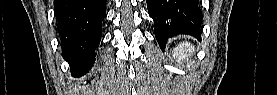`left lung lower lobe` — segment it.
I'll return each instance as SVG.
<instances>
[{
    "label": "left lung lower lobe",
    "mask_w": 277,
    "mask_h": 95,
    "mask_svg": "<svg viewBox=\"0 0 277 95\" xmlns=\"http://www.w3.org/2000/svg\"><path fill=\"white\" fill-rule=\"evenodd\" d=\"M155 24V37L163 49L169 37L188 34L198 37L201 10L198 0H146Z\"/></svg>",
    "instance_id": "obj_1"
}]
</instances>
